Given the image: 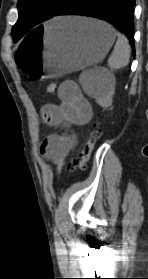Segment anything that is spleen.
Segmentation results:
<instances>
[{
	"label": "spleen",
	"instance_id": "spleen-1",
	"mask_svg": "<svg viewBox=\"0 0 148 279\" xmlns=\"http://www.w3.org/2000/svg\"><path fill=\"white\" fill-rule=\"evenodd\" d=\"M116 35L118 39L108 60V65L111 69L126 67L130 59V45L128 39L119 32L116 33ZM79 80L84 90L91 96L105 95L111 87L110 84H105L95 76V70L82 72Z\"/></svg>",
	"mask_w": 148,
	"mask_h": 279
}]
</instances>
